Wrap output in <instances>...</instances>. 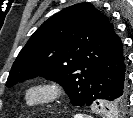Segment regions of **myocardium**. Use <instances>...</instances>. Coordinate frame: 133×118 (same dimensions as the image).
I'll use <instances>...</instances> for the list:
<instances>
[{
    "instance_id": "myocardium-1",
    "label": "myocardium",
    "mask_w": 133,
    "mask_h": 118,
    "mask_svg": "<svg viewBox=\"0 0 133 118\" xmlns=\"http://www.w3.org/2000/svg\"><path fill=\"white\" fill-rule=\"evenodd\" d=\"M64 93V86L59 80L41 77L25 85L22 90V100L29 108H41L58 102Z\"/></svg>"
}]
</instances>
